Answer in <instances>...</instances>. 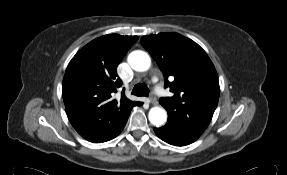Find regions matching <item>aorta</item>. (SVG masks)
Masks as SVG:
<instances>
[{"mask_svg":"<svg viewBox=\"0 0 287 175\" xmlns=\"http://www.w3.org/2000/svg\"><path fill=\"white\" fill-rule=\"evenodd\" d=\"M128 63L133 70L145 72L151 66V59L146 52L136 50L129 54ZM148 119L154 126H162L167 121V112L162 107H153L149 111Z\"/></svg>","mask_w":287,"mask_h":175,"instance_id":"1","label":"aorta"}]
</instances>
